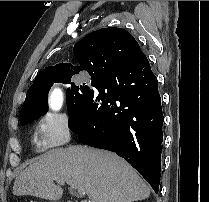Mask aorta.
<instances>
[{
	"label": "aorta",
	"instance_id": "obj_1",
	"mask_svg": "<svg viewBox=\"0 0 209 202\" xmlns=\"http://www.w3.org/2000/svg\"><path fill=\"white\" fill-rule=\"evenodd\" d=\"M51 107L53 109H58L61 105V95L58 89H55L50 98Z\"/></svg>",
	"mask_w": 209,
	"mask_h": 202
}]
</instances>
